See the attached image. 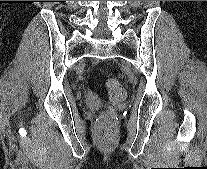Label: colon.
Returning a JSON list of instances; mask_svg holds the SVG:
<instances>
[{"instance_id": "colon-1", "label": "colon", "mask_w": 207, "mask_h": 169, "mask_svg": "<svg viewBox=\"0 0 207 169\" xmlns=\"http://www.w3.org/2000/svg\"><path fill=\"white\" fill-rule=\"evenodd\" d=\"M106 89L111 103L118 104L122 102L126 97L125 88L115 77H109L106 81ZM96 136L99 141L108 143L115 138L116 124L112 111H109L101 117L97 122Z\"/></svg>"}]
</instances>
